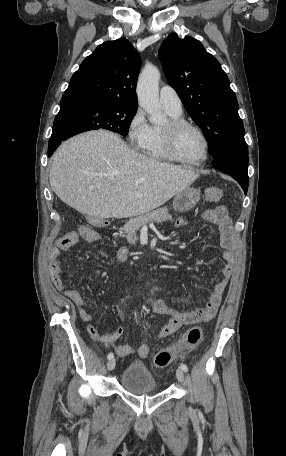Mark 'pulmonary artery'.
Returning <instances> with one entry per match:
<instances>
[{
  "instance_id": "1",
  "label": "pulmonary artery",
  "mask_w": 286,
  "mask_h": 456,
  "mask_svg": "<svg viewBox=\"0 0 286 456\" xmlns=\"http://www.w3.org/2000/svg\"><path fill=\"white\" fill-rule=\"evenodd\" d=\"M160 103L162 107L175 115H181L182 102L174 88L163 86L159 93Z\"/></svg>"
}]
</instances>
